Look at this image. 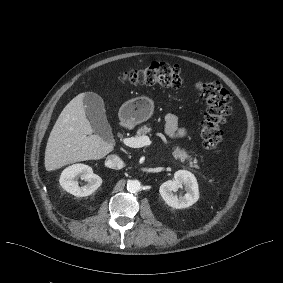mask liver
Returning a JSON list of instances; mask_svg holds the SVG:
<instances>
[{
    "instance_id": "1",
    "label": "liver",
    "mask_w": 283,
    "mask_h": 283,
    "mask_svg": "<svg viewBox=\"0 0 283 283\" xmlns=\"http://www.w3.org/2000/svg\"><path fill=\"white\" fill-rule=\"evenodd\" d=\"M85 95L81 93L72 99L56 121L46 146V171L82 161L100 160L115 150L111 143L94 134L85 114Z\"/></svg>"
}]
</instances>
